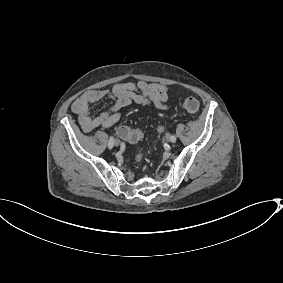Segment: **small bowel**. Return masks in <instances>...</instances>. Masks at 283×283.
<instances>
[{
    "mask_svg": "<svg viewBox=\"0 0 283 283\" xmlns=\"http://www.w3.org/2000/svg\"><path fill=\"white\" fill-rule=\"evenodd\" d=\"M103 99L112 100V107L98 116H91L90 105ZM167 102L168 88L165 85L140 80L87 91L74 101L72 110L78 116L82 130L90 132L98 127L109 128L116 124L121 119L122 111L132 103L164 110L168 108Z\"/></svg>",
    "mask_w": 283,
    "mask_h": 283,
    "instance_id": "1",
    "label": "small bowel"
}]
</instances>
